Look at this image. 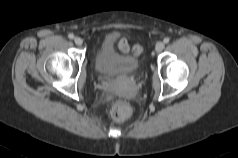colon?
I'll use <instances>...</instances> for the list:
<instances>
[{
  "instance_id": "1",
  "label": "colon",
  "mask_w": 238,
  "mask_h": 158,
  "mask_svg": "<svg viewBox=\"0 0 238 158\" xmlns=\"http://www.w3.org/2000/svg\"><path fill=\"white\" fill-rule=\"evenodd\" d=\"M118 49H119V51H121L123 53H127L130 50H132V52L136 55H138L142 52V48L139 45H135L131 49L130 46H129V43L125 39H122V40L119 41ZM110 114H111V118L114 121H118V122L123 121V120L127 119L130 116L131 107L125 101L116 100L112 104Z\"/></svg>"
}]
</instances>
